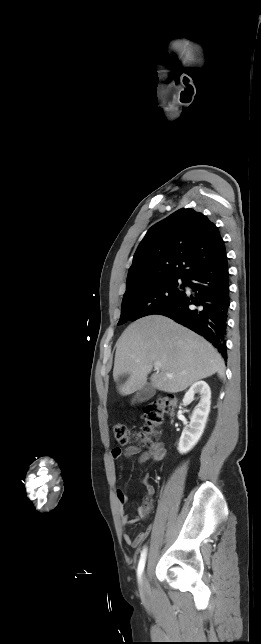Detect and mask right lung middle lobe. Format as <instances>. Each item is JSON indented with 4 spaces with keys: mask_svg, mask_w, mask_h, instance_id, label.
Masks as SVG:
<instances>
[{
    "mask_svg": "<svg viewBox=\"0 0 261 644\" xmlns=\"http://www.w3.org/2000/svg\"><path fill=\"white\" fill-rule=\"evenodd\" d=\"M179 279L168 278L127 289L122 300L120 320L135 321L156 314L176 302L183 294L180 288H183L184 281L182 279L180 284Z\"/></svg>",
    "mask_w": 261,
    "mask_h": 644,
    "instance_id": "1",
    "label": "right lung middle lobe"
}]
</instances>
